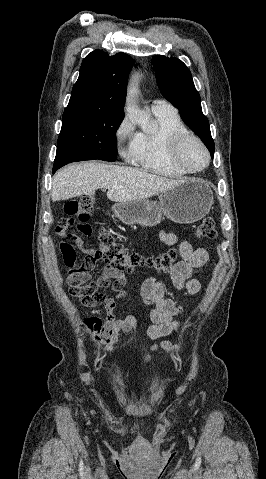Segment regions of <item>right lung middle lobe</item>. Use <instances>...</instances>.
<instances>
[{
    "mask_svg": "<svg viewBox=\"0 0 266 479\" xmlns=\"http://www.w3.org/2000/svg\"><path fill=\"white\" fill-rule=\"evenodd\" d=\"M123 118L112 115L63 116L54 163L94 159L115 161V135Z\"/></svg>",
    "mask_w": 266,
    "mask_h": 479,
    "instance_id": "right-lung-middle-lobe-1",
    "label": "right lung middle lobe"
}]
</instances>
